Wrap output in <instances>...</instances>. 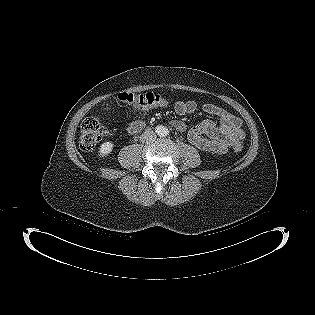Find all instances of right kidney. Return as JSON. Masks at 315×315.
Here are the masks:
<instances>
[{
  "instance_id": "right-kidney-1",
  "label": "right kidney",
  "mask_w": 315,
  "mask_h": 315,
  "mask_svg": "<svg viewBox=\"0 0 315 315\" xmlns=\"http://www.w3.org/2000/svg\"><path fill=\"white\" fill-rule=\"evenodd\" d=\"M113 148H114V143L111 141L102 143L98 151V156L100 158L107 157L109 154H111Z\"/></svg>"
}]
</instances>
